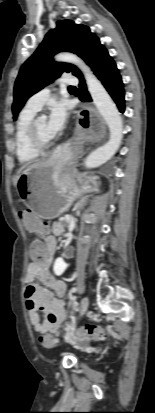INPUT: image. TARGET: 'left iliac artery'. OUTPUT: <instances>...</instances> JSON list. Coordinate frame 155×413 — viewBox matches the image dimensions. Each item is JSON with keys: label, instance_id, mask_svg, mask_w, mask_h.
Listing matches in <instances>:
<instances>
[{"label": "left iliac artery", "instance_id": "44dca946", "mask_svg": "<svg viewBox=\"0 0 155 413\" xmlns=\"http://www.w3.org/2000/svg\"><path fill=\"white\" fill-rule=\"evenodd\" d=\"M76 291H77V288H75V287L71 289L72 293H75Z\"/></svg>", "mask_w": 155, "mask_h": 413}]
</instances>
